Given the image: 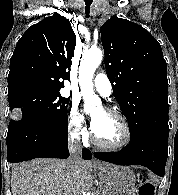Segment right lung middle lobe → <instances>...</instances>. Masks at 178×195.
<instances>
[{"label":"right lung middle lobe","mask_w":178,"mask_h":195,"mask_svg":"<svg viewBox=\"0 0 178 195\" xmlns=\"http://www.w3.org/2000/svg\"><path fill=\"white\" fill-rule=\"evenodd\" d=\"M8 102L14 112L10 122L67 119L69 98L62 97L58 90H25L8 96Z\"/></svg>","instance_id":"dd1d6c3e"}]
</instances>
